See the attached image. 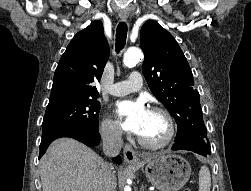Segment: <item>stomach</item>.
Instances as JSON below:
<instances>
[{"instance_id":"0dacf381","label":"stomach","mask_w":251,"mask_h":191,"mask_svg":"<svg viewBox=\"0 0 251 191\" xmlns=\"http://www.w3.org/2000/svg\"><path fill=\"white\" fill-rule=\"evenodd\" d=\"M142 159L143 161L139 159L134 169H139V167H143L144 163H147L144 173L152 185H155L160 191H178L191 175L189 161L170 151L151 155V157L143 155Z\"/></svg>"}]
</instances>
